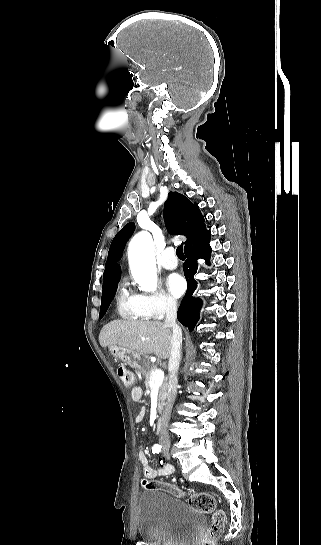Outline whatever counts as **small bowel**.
<instances>
[{
	"label": "small bowel",
	"instance_id": "obj_1",
	"mask_svg": "<svg viewBox=\"0 0 321 545\" xmlns=\"http://www.w3.org/2000/svg\"><path fill=\"white\" fill-rule=\"evenodd\" d=\"M131 397L133 401L140 402L142 398V391L139 388L132 389ZM145 414H146V410L145 408L142 407L139 410L138 414L136 415L135 421L137 423L141 422L144 419ZM139 461L142 467V472L144 476L148 479H155L161 476L170 475L173 472V467L168 464L158 469L152 468L148 462V458L143 449H141L139 452Z\"/></svg>",
	"mask_w": 321,
	"mask_h": 545
}]
</instances>
